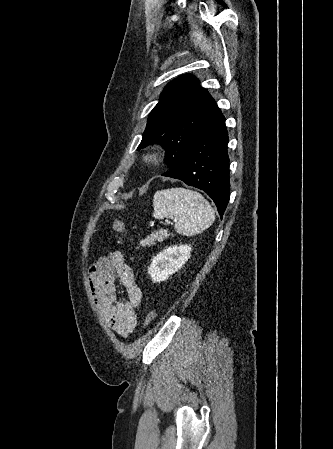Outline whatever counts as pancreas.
Returning <instances> with one entry per match:
<instances>
[{
	"mask_svg": "<svg viewBox=\"0 0 333 449\" xmlns=\"http://www.w3.org/2000/svg\"><path fill=\"white\" fill-rule=\"evenodd\" d=\"M169 234L167 230H160L159 232H152L147 238L140 242L141 246H153L156 241H162L165 238H168Z\"/></svg>",
	"mask_w": 333,
	"mask_h": 449,
	"instance_id": "obj_1",
	"label": "pancreas"
}]
</instances>
